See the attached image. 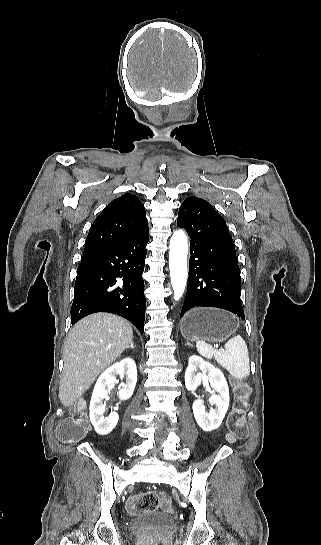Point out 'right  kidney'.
I'll list each match as a JSON object with an SVG mask.
<instances>
[{
  "label": "right kidney",
  "mask_w": 321,
  "mask_h": 545,
  "mask_svg": "<svg viewBox=\"0 0 321 545\" xmlns=\"http://www.w3.org/2000/svg\"><path fill=\"white\" fill-rule=\"evenodd\" d=\"M117 375H120V377L126 375L127 377L123 389H120L118 393L121 401H127V399L132 397L137 381V369L133 359L126 357V359H122L120 363H114L112 367L106 369V371L100 375L99 379H97L90 401L89 415L90 421L98 435H108V433L113 431L119 421V415L118 413H115V411L110 413L108 417H104V411H106V409L105 405H103V399L107 397L108 393H110V389L114 387L115 383H118L116 379Z\"/></svg>",
  "instance_id": "obj_1"
}]
</instances>
